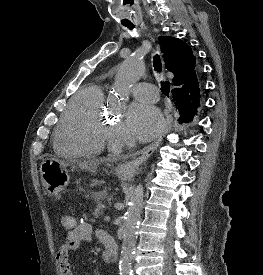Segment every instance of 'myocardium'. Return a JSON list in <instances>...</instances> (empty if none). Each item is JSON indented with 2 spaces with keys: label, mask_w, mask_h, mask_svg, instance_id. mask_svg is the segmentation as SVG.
I'll use <instances>...</instances> for the list:
<instances>
[{
  "label": "myocardium",
  "mask_w": 263,
  "mask_h": 275,
  "mask_svg": "<svg viewBox=\"0 0 263 275\" xmlns=\"http://www.w3.org/2000/svg\"><path fill=\"white\" fill-rule=\"evenodd\" d=\"M100 131H101V133L104 135V136H108V134H109V126H108V124H106V122L105 121H101V123H100Z\"/></svg>",
  "instance_id": "obj_1"
}]
</instances>
